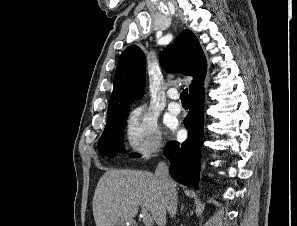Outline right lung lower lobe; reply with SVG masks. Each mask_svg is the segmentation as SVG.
Segmentation results:
<instances>
[{
	"label": "right lung lower lobe",
	"instance_id": "98d812e1",
	"mask_svg": "<svg viewBox=\"0 0 297 226\" xmlns=\"http://www.w3.org/2000/svg\"><path fill=\"white\" fill-rule=\"evenodd\" d=\"M204 88L190 94L189 113L184 124L189 131L188 138L181 145L169 142L165 156L170 160V174L179 183L198 189L200 175L201 149L203 140Z\"/></svg>",
	"mask_w": 297,
	"mask_h": 226
}]
</instances>
